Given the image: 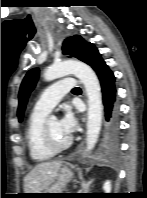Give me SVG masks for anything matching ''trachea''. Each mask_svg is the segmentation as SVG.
Wrapping results in <instances>:
<instances>
[{"instance_id": "trachea-1", "label": "trachea", "mask_w": 147, "mask_h": 198, "mask_svg": "<svg viewBox=\"0 0 147 198\" xmlns=\"http://www.w3.org/2000/svg\"><path fill=\"white\" fill-rule=\"evenodd\" d=\"M78 90H80L79 87H76V88L73 89V91H78Z\"/></svg>"}]
</instances>
